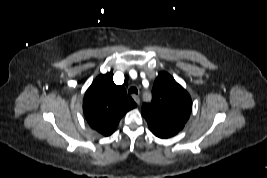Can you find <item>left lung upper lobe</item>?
I'll return each instance as SVG.
<instances>
[{
	"label": "left lung upper lobe",
	"mask_w": 267,
	"mask_h": 178,
	"mask_svg": "<svg viewBox=\"0 0 267 178\" xmlns=\"http://www.w3.org/2000/svg\"><path fill=\"white\" fill-rule=\"evenodd\" d=\"M192 110L188 92L166 72H160L152 89V101L144 103L141 113L151 132L167 139L183 129Z\"/></svg>",
	"instance_id": "obj_1"
}]
</instances>
